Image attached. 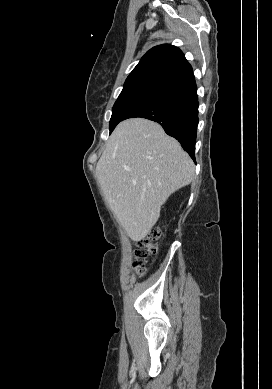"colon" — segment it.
I'll use <instances>...</instances> for the list:
<instances>
[{
  "label": "colon",
  "mask_w": 272,
  "mask_h": 389,
  "mask_svg": "<svg viewBox=\"0 0 272 389\" xmlns=\"http://www.w3.org/2000/svg\"><path fill=\"white\" fill-rule=\"evenodd\" d=\"M163 237L161 228H153L146 238L140 240L135 251L136 260L134 262V269L137 273L142 274L144 271V259L153 254L157 250V242Z\"/></svg>",
  "instance_id": "5ec220e1"
}]
</instances>
